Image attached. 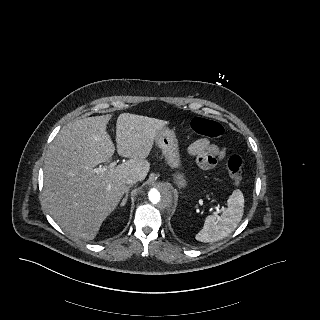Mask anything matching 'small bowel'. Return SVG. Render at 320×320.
<instances>
[{
  "mask_svg": "<svg viewBox=\"0 0 320 320\" xmlns=\"http://www.w3.org/2000/svg\"><path fill=\"white\" fill-rule=\"evenodd\" d=\"M188 153L197 158L203 169H212L225 156V149L219 147L209 139L202 138L194 141L188 147Z\"/></svg>",
  "mask_w": 320,
  "mask_h": 320,
  "instance_id": "small-bowel-1",
  "label": "small bowel"
}]
</instances>
